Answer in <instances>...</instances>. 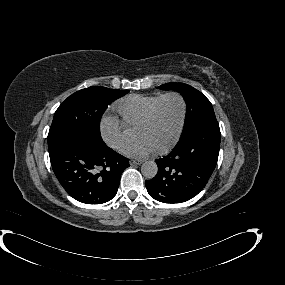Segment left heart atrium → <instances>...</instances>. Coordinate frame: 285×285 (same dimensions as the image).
Wrapping results in <instances>:
<instances>
[{"instance_id":"1","label":"left heart atrium","mask_w":285,"mask_h":285,"mask_svg":"<svg viewBox=\"0 0 285 285\" xmlns=\"http://www.w3.org/2000/svg\"><path fill=\"white\" fill-rule=\"evenodd\" d=\"M155 146L145 138H138L124 147L123 153L132 158H144L153 152Z\"/></svg>"}]
</instances>
